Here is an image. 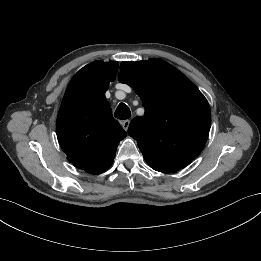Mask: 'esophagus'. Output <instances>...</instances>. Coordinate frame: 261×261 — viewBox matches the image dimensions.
Masks as SVG:
<instances>
[{"label":"esophagus","instance_id":"34e87169","mask_svg":"<svg viewBox=\"0 0 261 261\" xmlns=\"http://www.w3.org/2000/svg\"><path fill=\"white\" fill-rule=\"evenodd\" d=\"M121 124H122L123 129H124L125 131H127L128 128H129V125H130V120H124V121H122Z\"/></svg>","mask_w":261,"mask_h":261}]
</instances>
